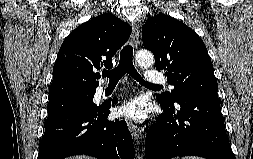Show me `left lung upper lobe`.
<instances>
[{"label": "left lung upper lobe", "instance_id": "left-lung-upper-lobe-1", "mask_svg": "<svg viewBox=\"0 0 253 159\" xmlns=\"http://www.w3.org/2000/svg\"><path fill=\"white\" fill-rule=\"evenodd\" d=\"M146 49L153 52L158 70H166L171 93L156 96L166 105L196 95H217L218 85L207 49L200 37L182 22L164 14L150 17L142 28Z\"/></svg>", "mask_w": 253, "mask_h": 159}]
</instances>
